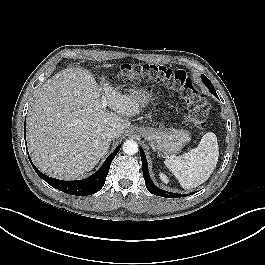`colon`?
I'll return each mask as SVG.
<instances>
[{"label":"colon","instance_id":"colon-1","mask_svg":"<svg viewBox=\"0 0 265 265\" xmlns=\"http://www.w3.org/2000/svg\"><path fill=\"white\" fill-rule=\"evenodd\" d=\"M118 76L127 82L151 81L162 84L178 94L187 104V120L198 127L207 124L209 105L199 95L186 71L151 64H124L117 69Z\"/></svg>","mask_w":265,"mask_h":265}]
</instances>
